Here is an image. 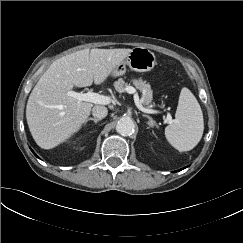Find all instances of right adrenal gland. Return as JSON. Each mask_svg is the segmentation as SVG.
Masks as SVG:
<instances>
[{
  "mask_svg": "<svg viewBox=\"0 0 243 243\" xmlns=\"http://www.w3.org/2000/svg\"><path fill=\"white\" fill-rule=\"evenodd\" d=\"M93 121L95 124L97 123V122H99L100 121V119H96V118H88V119H86V121L85 122H88V121Z\"/></svg>",
  "mask_w": 243,
  "mask_h": 243,
  "instance_id": "right-adrenal-gland-1",
  "label": "right adrenal gland"
}]
</instances>
